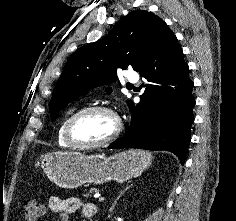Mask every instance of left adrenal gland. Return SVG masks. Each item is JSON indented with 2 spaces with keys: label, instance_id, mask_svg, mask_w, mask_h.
<instances>
[{
  "label": "left adrenal gland",
  "instance_id": "1",
  "mask_svg": "<svg viewBox=\"0 0 236 221\" xmlns=\"http://www.w3.org/2000/svg\"><path fill=\"white\" fill-rule=\"evenodd\" d=\"M132 186H133V184L127 185V186L124 188V190H121V191H120L119 195L117 196V198L114 200L112 206L110 207V210H109L110 213L113 212V210H114V208H115V206H116L117 201L119 200V198H120L129 188H131Z\"/></svg>",
  "mask_w": 236,
  "mask_h": 221
}]
</instances>
